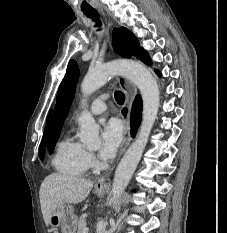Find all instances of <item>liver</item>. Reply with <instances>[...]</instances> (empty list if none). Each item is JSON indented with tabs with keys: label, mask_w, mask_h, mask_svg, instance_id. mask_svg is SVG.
I'll use <instances>...</instances> for the list:
<instances>
[{
	"label": "liver",
	"mask_w": 227,
	"mask_h": 233,
	"mask_svg": "<svg viewBox=\"0 0 227 233\" xmlns=\"http://www.w3.org/2000/svg\"><path fill=\"white\" fill-rule=\"evenodd\" d=\"M93 188L91 180L58 173L48 175L39 190L41 212L46 226L53 214L66 204H78L85 200Z\"/></svg>",
	"instance_id": "liver-1"
}]
</instances>
